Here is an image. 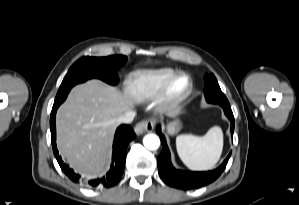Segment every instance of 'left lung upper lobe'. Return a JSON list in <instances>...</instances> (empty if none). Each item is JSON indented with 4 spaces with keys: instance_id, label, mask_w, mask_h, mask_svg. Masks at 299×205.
Wrapping results in <instances>:
<instances>
[{
    "instance_id": "1",
    "label": "left lung upper lobe",
    "mask_w": 299,
    "mask_h": 205,
    "mask_svg": "<svg viewBox=\"0 0 299 205\" xmlns=\"http://www.w3.org/2000/svg\"><path fill=\"white\" fill-rule=\"evenodd\" d=\"M205 98L209 103L226 101L227 98L222 93L219 84L213 74L205 76Z\"/></svg>"
}]
</instances>
